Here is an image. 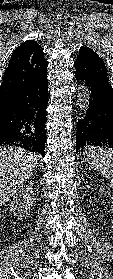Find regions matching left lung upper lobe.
<instances>
[{
	"mask_svg": "<svg viewBox=\"0 0 113 279\" xmlns=\"http://www.w3.org/2000/svg\"><path fill=\"white\" fill-rule=\"evenodd\" d=\"M81 49L87 51V52H90V53H93V54H97L96 52H94L91 48L87 47V46H83L81 47ZM98 55V54H97Z\"/></svg>",
	"mask_w": 113,
	"mask_h": 279,
	"instance_id": "5c2ea615",
	"label": "left lung upper lobe"
}]
</instances>
